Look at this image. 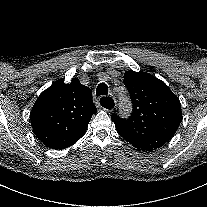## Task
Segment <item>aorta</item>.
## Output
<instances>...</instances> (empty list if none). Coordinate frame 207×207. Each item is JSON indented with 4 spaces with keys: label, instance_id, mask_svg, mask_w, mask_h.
Wrapping results in <instances>:
<instances>
[{
    "label": "aorta",
    "instance_id": "aorta-1",
    "mask_svg": "<svg viewBox=\"0 0 207 207\" xmlns=\"http://www.w3.org/2000/svg\"><path fill=\"white\" fill-rule=\"evenodd\" d=\"M120 109L127 116L131 111V104L127 97H122L120 101Z\"/></svg>",
    "mask_w": 207,
    "mask_h": 207
}]
</instances>
